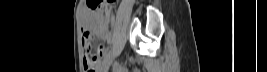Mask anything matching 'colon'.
Wrapping results in <instances>:
<instances>
[{"instance_id": "obj_1", "label": "colon", "mask_w": 267, "mask_h": 72, "mask_svg": "<svg viewBox=\"0 0 267 72\" xmlns=\"http://www.w3.org/2000/svg\"><path fill=\"white\" fill-rule=\"evenodd\" d=\"M114 0H88L89 8L101 14L104 18H108L111 13V4ZM90 43H86L83 47V59H85L84 71L94 72L97 66V57L90 52Z\"/></svg>"}]
</instances>
